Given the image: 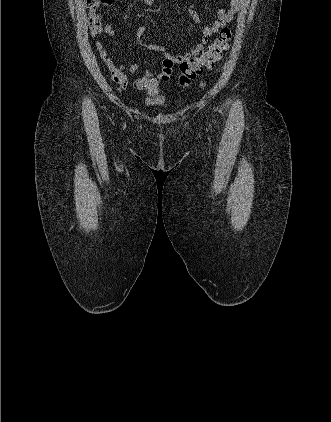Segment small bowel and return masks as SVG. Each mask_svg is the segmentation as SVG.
Instances as JSON below:
<instances>
[{
    "label": "small bowel",
    "mask_w": 331,
    "mask_h": 422,
    "mask_svg": "<svg viewBox=\"0 0 331 422\" xmlns=\"http://www.w3.org/2000/svg\"><path fill=\"white\" fill-rule=\"evenodd\" d=\"M154 1L155 0H141L144 5L149 7H152L154 5ZM242 3L243 0H229L228 6L218 11L216 20L214 22H212L210 25L201 27L200 41L189 51H185L176 55L169 53L164 46L145 43L142 37L147 31V27H140L135 34L136 42L139 45L144 46L148 50L159 51L163 54L162 66L154 75L155 78L161 81H168L175 65L181 64L184 61L198 58V55L201 52H204V48L208 40L232 20L233 16L240 10ZM186 10L190 14L194 22L200 25L201 17L199 15L197 5L195 3H188L186 6ZM90 30L91 35L94 38L98 37L101 33H104L108 36H113L115 33L112 24H102L101 16L99 14H97L94 18L90 20ZM96 47L101 59L109 69L114 81L122 88H126L129 84L127 74L134 73L138 68L137 64L132 61L125 63L121 59H113L109 55L105 44L101 41L96 42ZM136 88L138 90H143L145 88V82L142 77L138 80Z\"/></svg>",
    "instance_id": "obj_1"
}]
</instances>
